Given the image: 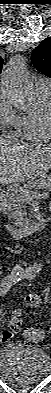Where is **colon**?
I'll list each match as a JSON object with an SVG mask.
<instances>
[{"label":"colon","mask_w":51,"mask_h":393,"mask_svg":"<svg viewBox=\"0 0 51 393\" xmlns=\"http://www.w3.org/2000/svg\"><path fill=\"white\" fill-rule=\"evenodd\" d=\"M9 327L12 331H19L22 327V320L17 316L12 317L9 321Z\"/></svg>","instance_id":"obj_1"}]
</instances>
